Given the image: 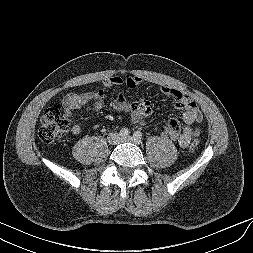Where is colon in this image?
I'll return each mask as SVG.
<instances>
[{
  "mask_svg": "<svg viewBox=\"0 0 253 253\" xmlns=\"http://www.w3.org/2000/svg\"><path fill=\"white\" fill-rule=\"evenodd\" d=\"M72 115L63 112L60 105L48 108L41 118L39 138L45 143H51L65 136L71 128ZM198 141H193L189 146L190 152L198 149Z\"/></svg>",
  "mask_w": 253,
  "mask_h": 253,
  "instance_id": "1",
  "label": "colon"
}]
</instances>
